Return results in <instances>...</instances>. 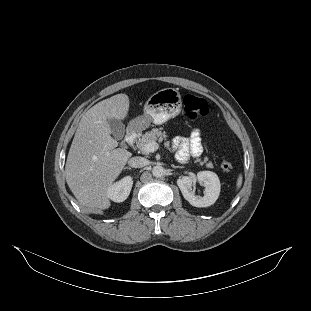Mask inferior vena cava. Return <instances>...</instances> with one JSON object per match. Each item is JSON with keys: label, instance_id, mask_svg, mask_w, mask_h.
<instances>
[{"label": "inferior vena cava", "instance_id": "1", "mask_svg": "<svg viewBox=\"0 0 311 311\" xmlns=\"http://www.w3.org/2000/svg\"><path fill=\"white\" fill-rule=\"evenodd\" d=\"M148 160L144 157L134 156L128 160V165L133 168H142L148 165Z\"/></svg>", "mask_w": 311, "mask_h": 311}]
</instances>
